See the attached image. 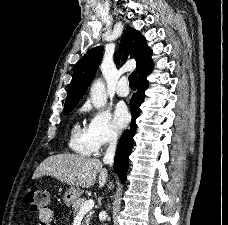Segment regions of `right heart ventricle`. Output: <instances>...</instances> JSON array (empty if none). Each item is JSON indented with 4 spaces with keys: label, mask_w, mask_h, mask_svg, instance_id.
I'll list each match as a JSON object with an SVG mask.
<instances>
[{
    "label": "right heart ventricle",
    "mask_w": 228,
    "mask_h": 225,
    "mask_svg": "<svg viewBox=\"0 0 228 225\" xmlns=\"http://www.w3.org/2000/svg\"><path fill=\"white\" fill-rule=\"evenodd\" d=\"M68 145L74 152L81 155L90 156L98 153L97 146L77 123L73 124L71 128Z\"/></svg>",
    "instance_id": "e07e8e85"
}]
</instances>
